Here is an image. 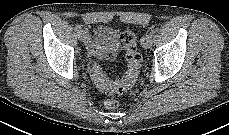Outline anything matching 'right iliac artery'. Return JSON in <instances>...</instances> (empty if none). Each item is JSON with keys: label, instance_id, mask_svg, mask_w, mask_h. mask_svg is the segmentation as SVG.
<instances>
[{"label": "right iliac artery", "instance_id": "82829eb1", "mask_svg": "<svg viewBox=\"0 0 229 135\" xmlns=\"http://www.w3.org/2000/svg\"><path fill=\"white\" fill-rule=\"evenodd\" d=\"M81 29H82V26H81V25H76L75 30H76L77 32H80Z\"/></svg>", "mask_w": 229, "mask_h": 135}]
</instances>
